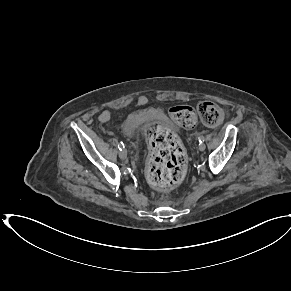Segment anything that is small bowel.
<instances>
[{
	"instance_id": "obj_1",
	"label": "small bowel",
	"mask_w": 291,
	"mask_h": 291,
	"mask_svg": "<svg viewBox=\"0 0 291 291\" xmlns=\"http://www.w3.org/2000/svg\"><path fill=\"white\" fill-rule=\"evenodd\" d=\"M110 118H111V115H110V113H109L108 111H103V112H101V113L99 114V116H98V120H99L100 122H106V121H108Z\"/></svg>"
}]
</instances>
